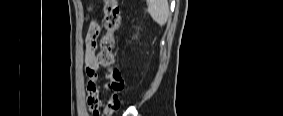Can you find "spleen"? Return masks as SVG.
<instances>
[{"instance_id": "1", "label": "spleen", "mask_w": 283, "mask_h": 116, "mask_svg": "<svg viewBox=\"0 0 283 116\" xmlns=\"http://www.w3.org/2000/svg\"><path fill=\"white\" fill-rule=\"evenodd\" d=\"M148 13L158 25H165L169 17L167 0H150L148 2Z\"/></svg>"}]
</instances>
